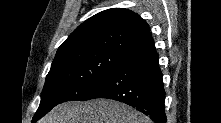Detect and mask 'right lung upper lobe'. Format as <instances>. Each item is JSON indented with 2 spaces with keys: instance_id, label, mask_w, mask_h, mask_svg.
Segmentation results:
<instances>
[{
  "instance_id": "1",
  "label": "right lung upper lobe",
  "mask_w": 221,
  "mask_h": 123,
  "mask_svg": "<svg viewBox=\"0 0 221 123\" xmlns=\"http://www.w3.org/2000/svg\"><path fill=\"white\" fill-rule=\"evenodd\" d=\"M96 48L131 56L155 47L149 26L140 16L127 9L112 8L82 23L59 47L55 58Z\"/></svg>"
}]
</instances>
